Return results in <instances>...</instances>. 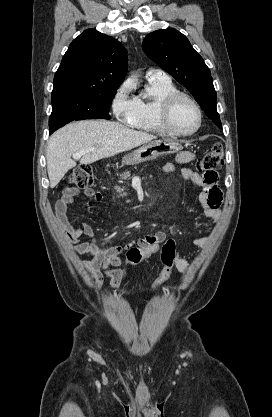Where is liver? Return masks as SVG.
<instances>
[{"label": "liver", "mask_w": 272, "mask_h": 417, "mask_svg": "<svg viewBox=\"0 0 272 417\" xmlns=\"http://www.w3.org/2000/svg\"><path fill=\"white\" fill-rule=\"evenodd\" d=\"M156 139V136L130 129L122 124L103 120L69 123L53 133L48 141L46 159L50 187L54 188L64 175L76 166L73 153L93 149L82 155L80 164L94 163L131 150Z\"/></svg>", "instance_id": "liver-1"}]
</instances>
